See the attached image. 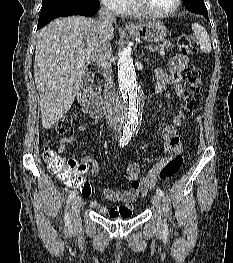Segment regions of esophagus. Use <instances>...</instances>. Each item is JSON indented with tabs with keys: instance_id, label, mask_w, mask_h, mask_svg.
Returning a JSON list of instances; mask_svg holds the SVG:
<instances>
[{
	"instance_id": "obj_1",
	"label": "esophagus",
	"mask_w": 233,
	"mask_h": 263,
	"mask_svg": "<svg viewBox=\"0 0 233 263\" xmlns=\"http://www.w3.org/2000/svg\"><path fill=\"white\" fill-rule=\"evenodd\" d=\"M125 26H126V28H134L135 27V25L130 21L126 22Z\"/></svg>"
}]
</instances>
